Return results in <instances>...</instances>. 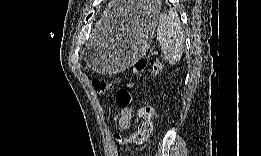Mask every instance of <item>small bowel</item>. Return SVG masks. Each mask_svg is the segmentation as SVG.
<instances>
[{"label": "small bowel", "mask_w": 261, "mask_h": 156, "mask_svg": "<svg viewBox=\"0 0 261 156\" xmlns=\"http://www.w3.org/2000/svg\"><path fill=\"white\" fill-rule=\"evenodd\" d=\"M113 120L119 131H125L130 127L132 121L135 120V114L130 108H122Z\"/></svg>", "instance_id": "obj_1"}]
</instances>
